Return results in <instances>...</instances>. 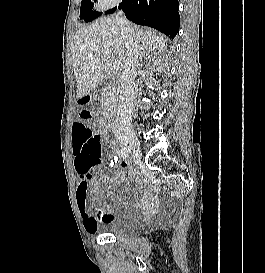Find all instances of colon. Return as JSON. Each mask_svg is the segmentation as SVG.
<instances>
[{
  "label": "colon",
  "instance_id": "1",
  "mask_svg": "<svg viewBox=\"0 0 265 273\" xmlns=\"http://www.w3.org/2000/svg\"><path fill=\"white\" fill-rule=\"evenodd\" d=\"M77 150L80 149V169L89 171L94 169L100 162V137L90 129H77Z\"/></svg>",
  "mask_w": 265,
  "mask_h": 273
}]
</instances>
